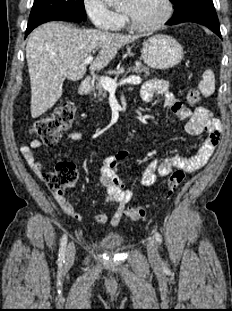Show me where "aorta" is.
<instances>
[{"label":"aorta","mask_w":232,"mask_h":311,"mask_svg":"<svg viewBox=\"0 0 232 311\" xmlns=\"http://www.w3.org/2000/svg\"><path fill=\"white\" fill-rule=\"evenodd\" d=\"M108 5L114 6L121 2V0H104Z\"/></svg>","instance_id":"aorta-1"}]
</instances>
